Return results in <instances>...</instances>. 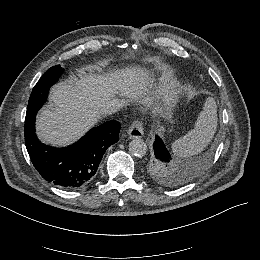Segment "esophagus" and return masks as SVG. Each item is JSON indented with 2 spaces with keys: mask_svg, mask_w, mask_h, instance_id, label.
I'll use <instances>...</instances> for the list:
<instances>
[{
  "mask_svg": "<svg viewBox=\"0 0 260 260\" xmlns=\"http://www.w3.org/2000/svg\"><path fill=\"white\" fill-rule=\"evenodd\" d=\"M144 134V128L141 121H134L128 129L129 138H141Z\"/></svg>",
  "mask_w": 260,
  "mask_h": 260,
  "instance_id": "1",
  "label": "esophagus"
}]
</instances>
